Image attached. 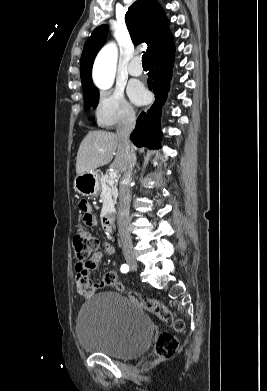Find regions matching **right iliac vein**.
I'll use <instances>...</instances> for the list:
<instances>
[{
    "instance_id": "1",
    "label": "right iliac vein",
    "mask_w": 267,
    "mask_h": 391,
    "mask_svg": "<svg viewBox=\"0 0 267 391\" xmlns=\"http://www.w3.org/2000/svg\"><path fill=\"white\" fill-rule=\"evenodd\" d=\"M126 261H127V264L130 266V268L134 271H137L138 269V264H137V261L135 259V257L131 254H128L126 256Z\"/></svg>"
}]
</instances>
